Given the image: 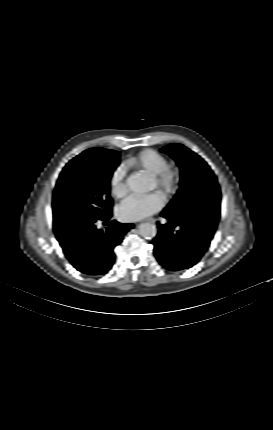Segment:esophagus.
<instances>
[{"instance_id": "34e87169", "label": "esophagus", "mask_w": 273, "mask_h": 430, "mask_svg": "<svg viewBox=\"0 0 273 430\" xmlns=\"http://www.w3.org/2000/svg\"><path fill=\"white\" fill-rule=\"evenodd\" d=\"M148 222L154 223V219H148Z\"/></svg>"}]
</instances>
